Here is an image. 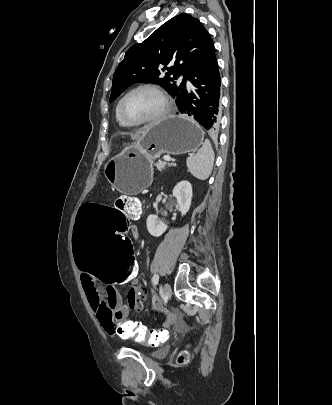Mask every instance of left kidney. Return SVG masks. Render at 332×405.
I'll use <instances>...</instances> for the list:
<instances>
[{"label":"left kidney","mask_w":332,"mask_h":405,"mask_svg":"<svg viewBox=\"0 0 332 405\" xmlns=\"http://www.w3.org/2000/svg\"><path fill=\"white\" fill-rule=\"evenodd\" d=\"M173 195L177 199V205L181 215H186L190 209L192 200V185L190 182L186 180L179 182L173 189ZM146 225L148 232L154 237L161 236L168 228L162 219L153 214L148 216Z\"/></svg>","instance_id":"1"}]
</instances>
